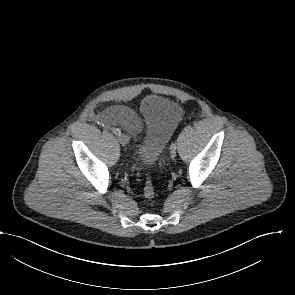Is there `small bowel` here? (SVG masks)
Returning a JSON list of instances; mask_svg holds the SVG:
<instances>
[{"label": "small bowel", "mask_w": 295, "mask_h": 295, "mask_svg": "<svg viewBox=\"0 0 295 295\" xmlns=\"http://www.w3.org/2000/svg\"><path fill=\"white\" fill-rule=\"evenodd\" d=\"M98 120L106 126L121 125L129 133L139 132L142 120L132 110L121 106H112L98 115Z\"/></svg>", "instance_id": "small-bowel-1"}]
</instances>
